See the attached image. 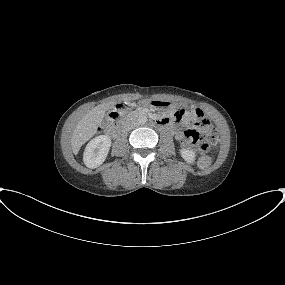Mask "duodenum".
<instances>
[{
	"instance_id": "duodenum-1",
	"label": "duodenum",
	"mask_w": 285,
	"mask_h": 285,
	"mask_svg": "<svg viewBox=\"0 0 285 285\" xmlns=\"http://www.w3.org/2000/svg\"><path fill=\"white\" fill-rule=\"evenodd\" d=\"M116 118H117V116L113 115V119L110 122L109 127H108L110 133H112L114 135L119 134L121 129H122V126L119 123L114 121ZM154 122H155V124H157L158 126L163 127V128H168L171 126V124L165 118H155Z\"/></svg>"
}]
</instances>
